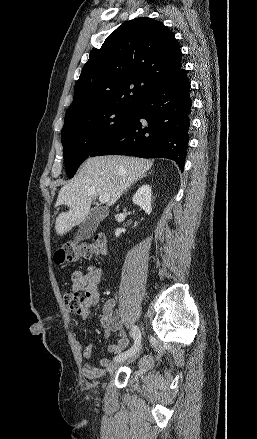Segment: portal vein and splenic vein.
Listing matches in <instances>:
<instances>
[{
	"label": "portal vein and splenic vein",
	"instance_id": "portal-vein-and-splenic-vein-1",
	"mask_svg": "<svg viewBox=\"0 0 257 439\" xmlns=\"http://www.w3.org/2000/svg\"><path fill=\"white\" fill-rule=\"evenodd\" d=\"M109 198H110V196H109V194H107V193H103V194H100V195H99V201H100L101 203H106V202H108Z\"/></svg>",
	"mask_w": 257,
	"mask_h": 439
}]
</instances>
